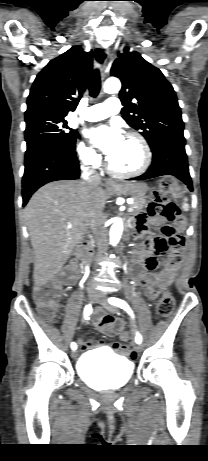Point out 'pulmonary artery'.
<instances>
[{
    "label": "pulmonary artery",
    "instance_id": "e3ab8cb5",
    "mask_svg": "<svg viewBox=\"0 0 208 461\" xmlns=\"http://www.w3.org/2000/svg\"><path fill=\"white\" fill-rule=\"evenodd\" d=\"M120 111V101L118 98L110 97L103 103L87 108L82 114L87 121H98L114 115Z\"/></svg>",
    "mask_w": 208,
    "mask_h": 461
}]
</instances>
